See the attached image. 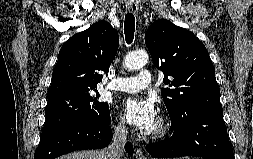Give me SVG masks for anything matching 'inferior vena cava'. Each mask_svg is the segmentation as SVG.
<instances>
[{"instance_id": "602c4592", "label": "inferior vena cava", "mask_w": 253, "mask_h": 159, "mask_svg": "<svg viewBox=\"0 0 253 159\" xmlns=\"http://www.w3.org/2000/svg\"><path fill=\"white\" fill-rule=\"evenodd\" d=\"M126 141L127 134L125 131V126H117L114 130L113 140L106 148V159H120Z\"/></svg>"}]
</instances>
